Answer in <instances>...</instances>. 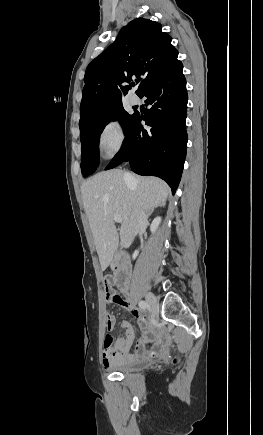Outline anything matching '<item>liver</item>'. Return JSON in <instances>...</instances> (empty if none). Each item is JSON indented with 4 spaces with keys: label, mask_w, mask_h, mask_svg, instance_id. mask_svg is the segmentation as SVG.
Returning a JSON list of instances; mask_svg holds the SVG:
<instances>
[{
    "label": "liver",
    "mask_w": 263,
    "mask_h": 435,
    "mask_svg": "<svg viewBox=\"0 0 263 435\" xmlns=\"http://www.w3.org/2000/svg\"><path fill=\"white\" fill-rule=\"evenodd\" d=\"M126 182L124 172L113 169L100 172L81 186L83 207L89 219L94 243L102 270L111 263L120 245L128 248L133 239V217L136 208L147 215L158 206H164L170 192L168 185L159 178L132 175ZM122 218L119 233L114 216Z\"/></svg>",
    "instance_id": "6515ba94"
}]
</instances>
